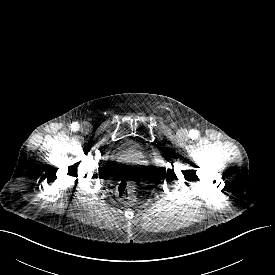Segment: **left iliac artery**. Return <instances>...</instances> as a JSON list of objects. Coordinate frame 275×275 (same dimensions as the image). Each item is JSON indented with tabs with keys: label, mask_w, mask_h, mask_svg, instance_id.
I'll return each instance as SVG.
<instances>
[{
	"label": "left iliac artery",
	"mask_w": 275,
	"mask_h": 275,
	"mask_svg": "<svg viewBox=\"0 0 275 275\" xmlns=\"http://www.w3.org/2000/svg\"><path fill=\"white\" fill-rule=\"evenodd\" d=\"M189 136H190L192 139H196V138L199 136V132H198L197 130H192V131H190Z\"/></svg>",
	"instance_id": "1"
}]
</instances>
